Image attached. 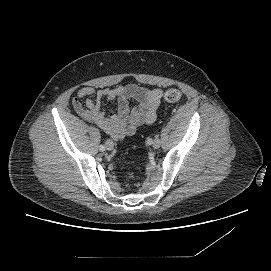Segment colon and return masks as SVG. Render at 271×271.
I'll list each match as a JSON object with an SVG mask.
<instances>
[{
	"instance_id": "1",
	"label": "colon",
	"mask_w": 271,
	"mask_h": 271,
	"mask_svg": "<svg viewBox=\"0 0 271 271\" xmlns=\"http://www.w3.org/2000/svg\"><path fill=\"white\" fill-rule=\"evenodd\" d=\"M182 97V94L177 89H169L164 94L165 101L169 103H175L178 102ZM130 178H134L133 174H129Z\"/></svg>"
}]
</instances>
